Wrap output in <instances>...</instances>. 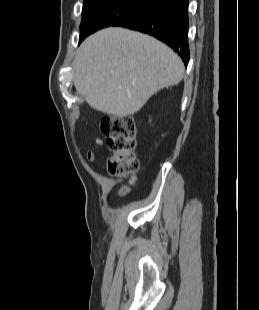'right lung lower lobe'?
I'll return each mask as SVG.
<instances>
[{"mask_svg": "<svg viewBox=\"0 0 259 310\" xmlns=\"http://www.w3.org/2000/svg\"><path fill=\"white\" fill-rule=\"evenodd\" d=\"M114 26L156 37L178 53L187 66L190 57L188 0H157L153 5L130 15Z\"/></svg>", "mask_w": 259, "mask_h": 310, "instance_id": "1", "label": "right lung lower lobe"}]
</instances>
